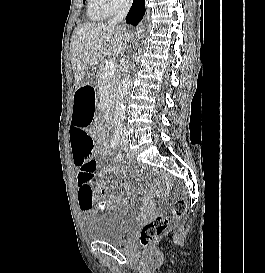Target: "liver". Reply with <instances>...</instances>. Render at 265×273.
<instances>
[{
	"label": "liver",
	"instance_id": "liver-1",
	"mask_svg": "<svg viewBox=\"0 0 265 273\" xmlns=\"http://www.w3.org/2000/svg\"><path fill=\"white\" fill-rule=\"evenodd\" d=\"M130 39L131 34L125 26L110 22L79 24L70 43L76 87L82 86L89 70H94L107 56L120 55Z\"/></svg>",
	"mask_w": 265,
	"mask_h": 273
}]
</instances>
